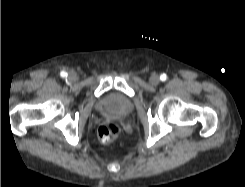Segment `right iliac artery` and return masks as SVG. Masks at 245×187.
<instances>
[{"mask_svg": "<svg viewBox=\"0 0 245 187\" xmlns=\"http://www.w3.org/2000/svg\"><path fill=\"white\" fill-rule=\"evenodd\" d=\"M60 75H61V77H67V73L65 72V71H61V73H60Z\"/></svg>", "mask_w": 245, "mask_h": 187, "instance_id": "right-iliac-artery-1", "label": "right iliac artery"}]
</instances>
